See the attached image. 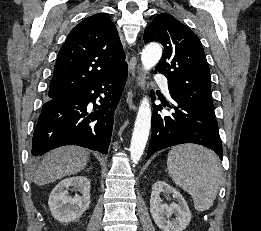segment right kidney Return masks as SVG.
I'll list each match as a JSON object with an SVG mask.
<instances>
[{
	"label": "right kidney",
	"mask_w": 261,
	"mask_h": 231,
	"mask_svg": "<svg viewBox=\"0 0 261 231\" xmlns=\"http://www.w3.org/2000/svg\"><path fill=\"white\" fill-rule=\"evenodd\" d=\"M69 187H73L81 195L69 196ZM48 205L56 220L62 223L75 221L89 208L90 181L84 176H73L60 181L52 190Z\"/></svg>",
	"instance_id": "1"
}]
</instances>
